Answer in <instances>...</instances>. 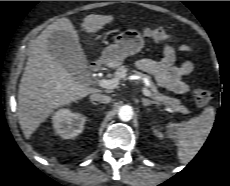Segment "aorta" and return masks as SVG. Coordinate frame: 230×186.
I'll use <instances>...</instances> for the list:
<instances>
[{"mask_svg": "<svg viewBox=\"0 0 230 186\" xmlns=\"http://www.w3.org/2000/svg\"><path fill=\"white\" fill-rule=\"evenodd\" d=\"M118 116L122 121H129L133 117V109L129 105H124L120 107Z\"/></svg>", "mask_w": 230, "mask_h": 186, "instance_id": "762f6f07", "label": "aorta"}]
</instances>
